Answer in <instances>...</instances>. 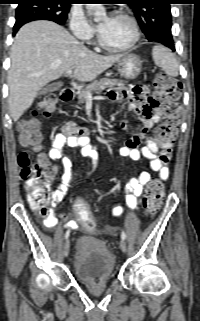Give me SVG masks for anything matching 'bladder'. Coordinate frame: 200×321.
<instances>
[{
    "instance_id": "1",
    "label": "bladder",
    "mask_w": 200,
    "mask_h": 321,
    "mask_svg": "<svg viewBox=\"0 0 200 321\" xmlns=\"http://www.w3.org/2000/svg\"><path fill=\"white\" fill-rule=\"evenodd\" d=\"M73 266L76 276L82 282H105L113 276L115 260L102 241L82 235L75 243Z\"/></svg>"
}]
</instances>
